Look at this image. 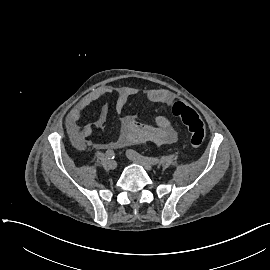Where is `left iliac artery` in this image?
Segmentation results:
<instances>
[{"mask_svg": "<svg viewBox=\"0 0 270 270\" xmlns=\"http://www.w3.org/2000/svg\"><path fill=\"white\" fill-rule=\"evenodd\" d=\"M127 152L130 155H132L133 157L138 158V159H143V160L149 162L152 165H156L159 162V159L156 158V157H146V156H143V155L139 154L138 152H136V151H134L132 149L127 150Z\"/></svg>", "mask_w": 270, "mask_h": 270, "instance_id": "left-iliac-artery-1", "label": "left iliac artery"}]
</instances>
